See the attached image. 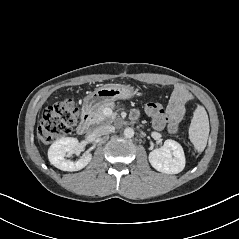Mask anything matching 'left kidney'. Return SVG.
Here are the masks:
<instances>
[{"mask_svg": "<svg viewBox=\"0 0 239 239\" xmlns=\"http://www.w3.org/2000/svg\"><path fill=\"white\" fill-rule=\"evenodd\" d=\"M149 162L159 172L180 173L185 167L183 148L178 142L168 139L161 148L150 152Z\"/></svg>", "mask_w": 239, "mask_h": 239, "instance_id": "left-kidney-1", "label": "left kidney"}]
</instances>
